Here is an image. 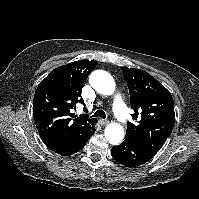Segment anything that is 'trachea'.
I'll return each instance as SVG.
<instances>
[{"instance_id":"obj_1","label":"trachea","mask_w":199,"mask_h":199,"mask_svg":"<svg viewBox=\"0 0 199 199\" xmlns=\"http://www.w3.org/2000/svg\"><path fill=\"white\" fill-rule=\"evenodd\" d=\"M92 117H101V118L105 119L106 114L103 110H97Z\"/></svg>"}]
</instances>
